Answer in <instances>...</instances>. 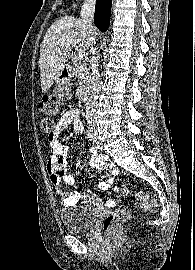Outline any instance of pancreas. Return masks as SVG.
I'll return each instance as SVG.
<instances>
[{
	"label": "pancreas",
	"instance_id": "1",
	"mask_svg": "<svg viewBox=\"0 0 195 270\" xmlns=\"http://www.w3.org/2000/svg\"><path fill=\"white\" fill-rule=\"evenodd\" d=\"M73 75L77 77L79 83L81 85H86L89 81V69L87 68V63L85 61H81L77 58L73 59L72 64Z\"/></svg>",
	"mask_w": 195,
	"mask_h": 270
}]
</instances>
